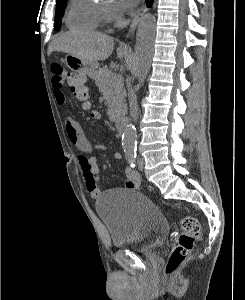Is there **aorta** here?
I'll use <instances>...</instances> for the list:
<instances>
[{
    "label": "aorta",
    "instance_id": "obj_1",
    "mask_svg": "<svg viewBox=\"0 0 245 300\" xmlns=\"http://www.w3.org/2000/svg\"><path fill=\"white\" fill-rule=\"evenodd\" d=\"M156 20L151 14L144 15L139 23L136 34L135 60L136 74L139 84L143 83L151 67L154 51ZM136 145V129L129 124L122 136V146L125 150H133Z\"/></svg>",
    "mask_w": 245,
    "mask_h": 300
}]
</instances>
